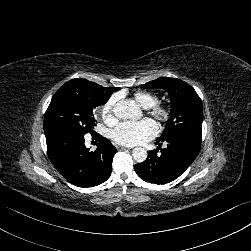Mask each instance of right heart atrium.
I'll use <instances>...</instances> for the list:
<instances>
[{
	"label": "right heart atrium",
	"mask_w": 251,
	"mask_h": 251,
	"mask_svg": "<svg viewBox=\"0 0 251 251\" xmlns=\"http://www.w3.org/2000/svg\"><path fill=\"white\" fill-rule=\"evenodd\" d=\"M118 102V97L113 95L109 97L100 107L99 113L102 120L108 125H114L117 122L115 108Z\"/></svg>",
	"instance_id": "d8ad5b80"
}]
</instances>
